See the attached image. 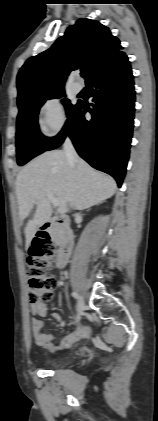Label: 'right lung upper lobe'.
Instances as JSON below:
<instances>
[{"label":"right lung upper lobe","instance_id":"cb5924a9","mask_svg":"<svg viewBox=\"0 0 158 421\" xmlns=\"http://www.w3.org/2000/svg\"><path fill=\"white\" fill-rule=\"evenodd\" d=\"M108 27L87 18L68 27L53 46L30 57L17 76L18 104L39 95L64 90L69 73L81 69L86 82L106 63L122 54Z\"/></svg>","mask_w":158,"mask_h":421}]
</instances>
